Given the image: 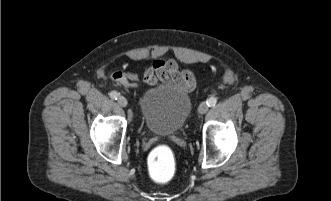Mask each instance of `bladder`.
<instances>
[{"mask_svg": "<svg viewBox=\"0 0 331 201\" xmlns=\"http://www.w3.org/2000/svg\"><path fill=\"white\" fill-rule=\"evenodd\" d=\"M192 110L189 91L173 85H158L144 91L140 99V114L144 126L161 136L176 134Z\"/></svg>", "mask_w": 331, "mask_h": 201, "instance_id": "1", "label": "bladder"}]
</instances>
